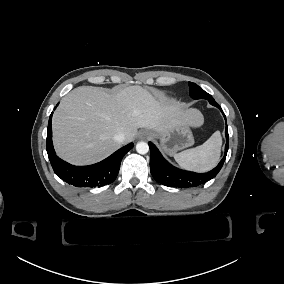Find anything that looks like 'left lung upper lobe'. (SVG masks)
<instances>
[{"label": "left lung upper lobe", "mask_w": 284, "mask_h": 284, "mask_svg": "<svg viewBox=\"0 0 284 284\" xmlns=\"http://www.w3.org/2000/svg\"><path fill=\"white\" fill-rule=\"evenodd\" d=\"M190 96L193 99H206L209 102L215 101L213 97L200 88L197 84L189 82Z\"/></svg>", "instance_id": "1"}]
</instances>
